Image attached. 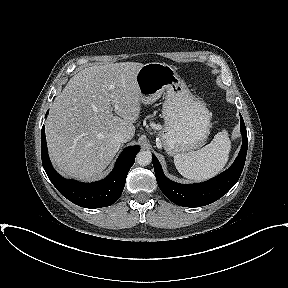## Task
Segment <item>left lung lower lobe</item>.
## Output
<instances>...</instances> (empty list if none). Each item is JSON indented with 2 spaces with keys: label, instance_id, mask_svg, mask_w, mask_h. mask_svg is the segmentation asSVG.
Segmentation results:
<instances>
[{
  "label": "left lung lower lobe",
  "instance_id": "0a47b994",
  "mask_svg": "<svg viewBox=\"0 0 288 288\" xmlns=\"http://www.w3.org/2000/svg\"><path fill=\"white\" fill-rule=\"evenodd\" d=\"M240 119L243 143L238 157L228 170L207 182L190 185L173 182L164 175L159 161L153 155L152 163L158 186L168 199L179 206L201 207L215 202L236 184L242 173L248 148L247 132L241 115Z\"/></svg>",
  "mask_w": 288,
  "mask_h": 288
}]
</instances>
